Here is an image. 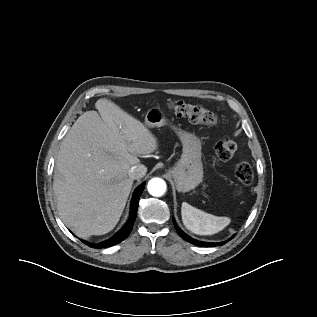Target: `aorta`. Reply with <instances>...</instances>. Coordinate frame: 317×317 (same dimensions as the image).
Returning <instances> with one entry per match:
<instances>
[{
  "label": "aorta",
  "instance_id": "762f6f07",
  "mask_svg": "<svg viewBox=\"0 0 317 317\" xmlns=\"http://www.w3.org/2000/svg\"><path fill=\"white\" fill-rule=\"evenodd\" d=\"M148 192L154 197H161L165 194L167 185L166 182L161 178H152L148 182L147 186Z\"/></svg>",
  "mask_w": 317,
  "mask_h": 317
}]
</instances>
